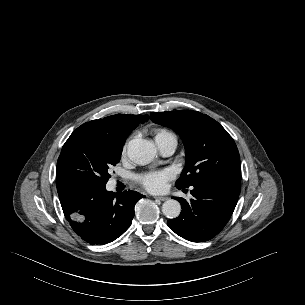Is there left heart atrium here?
<instances>
[{
  "mask_svg": "<svg viewBox=\"0 0 305 305\" xmlns=\"http://www.w3.org/2000/svg\"><path fill=\"white\" fill-rule=\"evenodd\" d=\"M170 178H172L170 171H156L141 176L140 183L151 192H161L166 188V183Z\"/></svg>",
  "mask_w": 305,
  "mask_h": 305,
  "instance_id": "39dd6f15",
  "label": "left heart atrium"
}]
</instances>
